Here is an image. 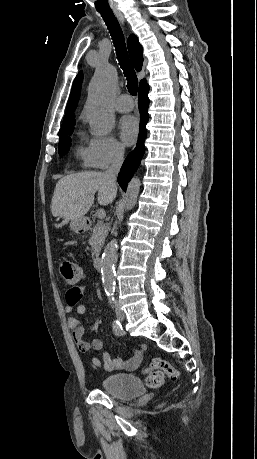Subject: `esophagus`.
Wrapping results in <instances>:
<instances>
[{
    "instance_id": "1",
    "label": "esophagus",
    "mask_w": 257,
    "mask_h": 459,
    "mask_svg": "<svg viewBox=\"0 0 257 459\" xmlns=\"http://www.w3.org/2000/svg\"><path fill=\"white\" fill-rule=\"evenodd\" d=\"M114 14L116 15V17L118 18V20H119L122 24L125 23V18H124V16H123V14H122L121 11H119V10H114Z\"/></svg>"
}]
</instances>
